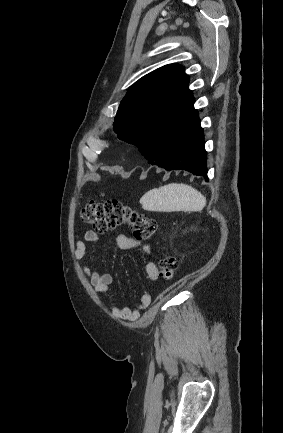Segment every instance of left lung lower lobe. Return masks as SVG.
Segmentation results:
<instances>
[{
    "label": "left lung lower lobe",
    "instance_id": "1",
    "mask_svg": "<svg viewBox=\"0 0 283 433\" xmlns=\"http://www.w3.org/2000/svg\"><path fill=\"white\" fill-rule=\"evenodd\" d=\"M139 151L151 165L166 170L184 169L208 181L207 152L198 114L180 126L164 124L151 128Z\"/></svg>",
    "mask_w": 283,
    "mask_h": 433
}]
</instances>
